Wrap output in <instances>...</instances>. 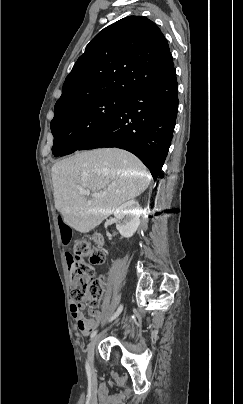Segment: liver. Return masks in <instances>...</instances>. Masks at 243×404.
Masks as SVG:
<instances>
[{
  "instance_id": "1",
  "label": "liver",
  "mask_w": 243,
  "mask_h": 404,
  "mask_svg": "<svg viewBox=\"0 0 243 404\" xmlns=\"http://www.w3.org/2000/svg\"><path fill=\"white\" fill-rule=\"evenodd\" d=\"M51 172L55 208L64 224L81 234L102 224L124 202L140 196L151 182L144 164L117 148L76 152L54 164ZM81 190L106 194L87 200Z\"/></svg>"
}]
</instances>
